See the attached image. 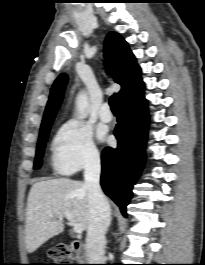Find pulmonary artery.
<instances>
[{"label":"pulmonary artery","mask_w":205,"mask_h":265,"mask_svg":"<svg viewBox=\"0 0 205 265\" xmlns=\"http://www.w3.org/2000/svg\"><path fill=\"white\" fill-rule=\"evenodd\" d=\"M100 119L104 122H110L112 120V113L108 103H104L99 112Z\"/></svg>","instance_id":"1"}]
</instances>
